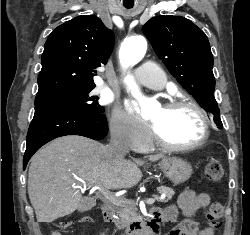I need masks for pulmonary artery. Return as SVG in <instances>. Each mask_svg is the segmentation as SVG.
Wrapping results in <instances>:
<instances>
[{
  "label": "pulmonary artery",
  "instance_id": "e3ab8cb5",
  "mask_svg": "<svg viewBox=\"0 0 250 235\" xmlns=\"http://www.w3.org/2000/svg\"><path fill=\"white\" fill-rule=\"evenodd\" d=\"M137 81L150 89L161 90L165 87L166 76L153 63H145L139 68Z\"/></svg>",
  "mask_w": 250,
  "mask_h": 235
}]
</instances>
